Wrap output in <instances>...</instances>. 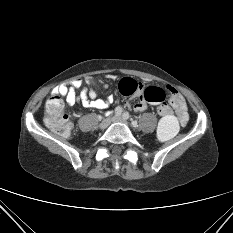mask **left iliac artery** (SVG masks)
Segmentation results:
<instances>
[{"instance_id":"left-iliac-artery-1","label":"left iliac artery","mask_w":233,"mask_h":233,"mask_svg":"<svg viewBox=\"0 0 233 233\" xmlns=\"http://www.w3.org/2000/svg\"><path fill=\"white\" fill-rule=\"evenodd\" d=\"M122 117H123V119L128 120L129 117H130V115H129L128 112H124L123 115H122Z\"/></svg>"}]
</instances>
